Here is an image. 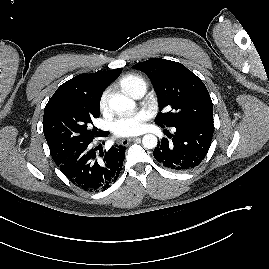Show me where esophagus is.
I'll return each instance as SVG.
<instances>
[{"label":"esophagus","instance_id":"1","mask_svg":"<svg viewBox=\"0 0 269 269\" xmlns=\"http://www.w3.org/2000/svg\"><path fill=\"white\" fill-rule=\"evenodd\" d=\"M140 140V138L139 137H134V138H129V139H122L121 140V144L123 145V146H127L130 142H136V141H139Z\"/></svg>","mask_w":269,"mask_h":269}]
</instances>
